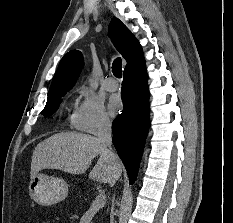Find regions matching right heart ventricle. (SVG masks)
I'll return each mask as SVG.
<instances>
[{
    "label": "right heart ventricle",
    "instance_id": "obj_1",
    "mask_svg": "<svg viewBox=\"0 0 233 223\" xmlns=\"http://www.w3.org/2000/svg\"><path fill=\"white\" fill-rule=\"evenodd\" d=\"M73 117H74V113L73 114H69L67 119L69 121L73 122Z\"/></svg>",
    "mask_w": 233,
    "mask_h": 223
}]
</instances>
